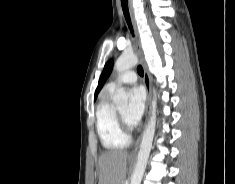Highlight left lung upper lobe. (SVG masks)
Segmentation results:
<instances>
[{
    "mask_svg": "<svg viewBox=\"0 0 235 184\" xmlns=\"http://www.w3.org/2000/svg\"><path fill=\"white\" fill-rule=\"evenodd\" d=\"M113 60H109L105 66H104V69H103V72L100 76V79H99V83H98V87L95 91V97L94 99L97 98V95L99 93V91L101 90V88L103 87L104 83L106 82L107 78L109 77V75L111 74V71H112V67H113Z\"/></svg>",
    "mask_w": 235,
    "mask_h": 184,
    "instance_id": "5c2ea615",
    "label": "left lung upper lobe"
}]
</instances>
